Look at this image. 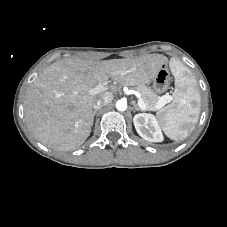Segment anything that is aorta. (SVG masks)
Instances as JSON below:
<instances>
[{
	"mask_svg": "<svg viewBox=\"0 0 227 227\" xmlns=\"http://www.w3.org/2000/svg\"><path fill=\"white\" fill-rule=\"evenodd\" d=\"M116 109L118 111H125L127 109V102L125 100H118L116 102Z\"/></svg>",
	"mask_w": 227,
	"mask_h": 227,
	"instance_id": "obj_1",
	"label": "aorta"
}]
</instances>
